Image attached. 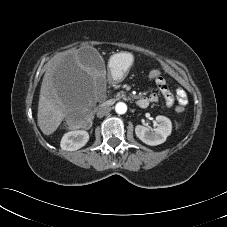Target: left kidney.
I'll return each instance as SVG.
<instances>
[{"mask_svg":"<svg viewBox=\"0 0 227 227\" xmlns=\"http://www.w3.org/2000/svg\"><path fill=\"white\" fill-rule=\"evenodd\" d=\"M156 121L159 123L158 127L152 131L145 126L137 125L135 127L136 136L145 144L156 146L166 141L171 134L172 123L171 120L165 116H157Z\"/></svg>","mask_w":227,"mask_h":227,"instance_id":"obj_1","label":"left kidney"}]
</instances>
